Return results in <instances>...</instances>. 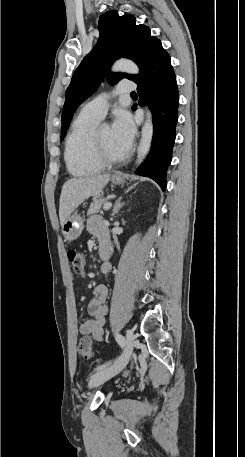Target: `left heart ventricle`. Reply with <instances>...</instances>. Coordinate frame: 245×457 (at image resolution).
Returning <instances> with one entry per match:
<instances>
[{
    "label": "left heart ventricle",
    "mask_w": 245,
    "mask_h": 457,
    "mask_svg": "<svg viewBox=\"0 0 245 457\" xmlns=\"http://www.w3.org/2000/svg\"><path fill=\"white\" fill-rule=\"evenodd\" d=\"M127 150L113 137L109 127L97 129L96 152L100 156H119Z\"/></svg>",
    "instance_id": "left-heart-ventricle-1"
}]
</instances>
